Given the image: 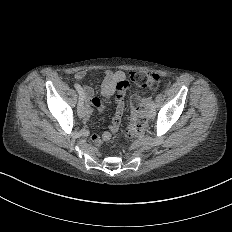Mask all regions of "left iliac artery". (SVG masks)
Returning <instances> with one entry per match:
<instances>
[{
    "instance_id": "left-iliac-artery-1",
    "label": "left iliac artery",
    "mask_w": 232,
    "mask_h": 232,
    "mask_svg": "<svg viewBox=\"0 0 232 232\" xmlns=\"http://www.w3.org/2000/svg\"><path fill=\"white\" fill-rule=\"evenodd\" d=\"M151 108H152V110H153V111H155V109H156V105H155V102H154V100H152V103H151Z\"/></svg>"
}]
</instances>
